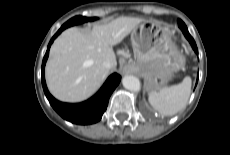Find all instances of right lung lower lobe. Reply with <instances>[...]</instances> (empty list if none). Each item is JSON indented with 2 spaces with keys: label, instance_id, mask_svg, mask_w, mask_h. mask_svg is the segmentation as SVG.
Instances as JSON below:
<instances>
[{
  "label": "right lung lower lobe",
  "instance_id": "right-lung-lower-lobe-1",
  "mask_svg": "<svg viewBox=\"0 0 230 155\" xmlns=\"http://www.w3.org/2000/svg\"><path fill=\"white\" fill-rule=\"evenodd\" d=\"M63 27H61L58 32L53 36L50 40L49 45L47 47L46 54L43 58L42 62V73H41V81L44 93L49 100V103L54 108V110L64 119L75 123V124H92L98 122L103 113L105 112L109 97L117 87L120 82V75L117 73L112 74L101 87V89L89 100L78 103V104H68L62 103L56 100L48 91L46 82H45V64L49 55V49L54 39L63 31Z\"/></svg>",
  "mask_w": 230,
  "mask_h": 155
}]
</instances>
